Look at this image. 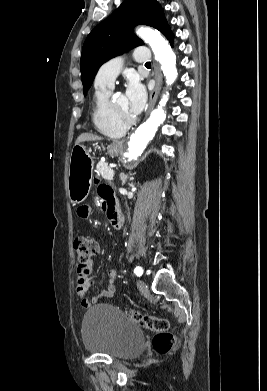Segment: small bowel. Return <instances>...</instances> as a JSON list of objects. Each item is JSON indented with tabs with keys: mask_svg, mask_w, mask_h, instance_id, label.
Wrapping results in <instances>:
<instances>
[{
	"mask_svg": "<svg viewBox=\"0 0 267 391\" xmlns=\"http://www.w3.org/2000/svg\"><path fill=\"white\" fill-rule=\"evenodd\" d=\"M97 192L99 197L102 199L108 214L110 212L119 211L117 200L115 198L113 189L111 188L110 185L106 183H98ZM77 215L81 219L84 220L88 219L90 216V207L87 205H81L77 209ZM93 270H94L93 263L91 264L90 268L86 271L78 268L76 290H77L78 297L80 298L81 304L84 307H90L92 303H97L102 299L110 298L114 295L116 291V282L118 279V275L115 270H110L108 272V284L106 289L97 293L92 299H89L87 293L94 283V278L92 276Z\"/></svg>",
	"mask_w": 267,
	"mask_h": 391,
	"instance_id": "1",
	"label": "small bowel"
}]
</instances>
